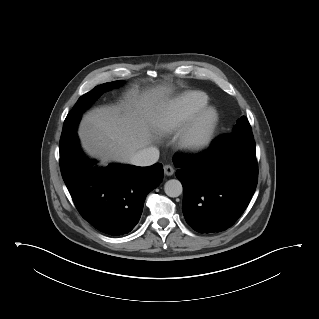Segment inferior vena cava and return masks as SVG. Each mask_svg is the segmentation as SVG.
<instances>
[{"instance_id":"1","label":"inferior vena cava","mask_w":319,"mask_h":319,"mask_svg":"<svg viewBox=\"0 0 319 319\" xmlns=\"http://www.w3.org/2000/svg\"><path fill=\"white\" fill-rule=\"evenodd\" d=\"M159 159V150L156 147H146L136 152L130 159L135 166H150Z\"/></svg>"}]
</instances>
